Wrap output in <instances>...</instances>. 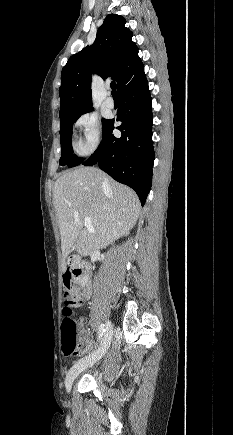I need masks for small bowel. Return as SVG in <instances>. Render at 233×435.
Returning <instances> with one entry per match:
<instances>
[{
	"label": "small bowel",
	"instance_id": "1",
	"mask_svg": "<svg viewBox=\"0 0 233 435\" xmlns=\"http://www.w3.org/2000/svg\"><path fill=\"white\" fill-rule=\"evenodd\" d=\"M65 295H71L73 297H76V295L73 291L65 292ZM78 325H79L78 343L81 347L85 348L86 351H88L93 345L92 341L89 337L88 330L85 327L84 321L82 319L79 320ZM112 360H114V359H112Z\"/></svg>",
	"mask_w": 233,
	"mask_h": 435
}]
</instances>
